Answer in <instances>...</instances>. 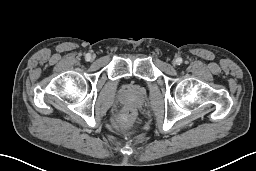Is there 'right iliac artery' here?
I'll return each instance as SVG.
<instances>
[{"instance_id":"obj_1","label":"right iliac artery","mask_w":256,"mask_h":171,"mask_svg":"<svg viewBox=\"0 0 256 171\" xmlns=\"http://www.w3.org/2000/svg\"><path fill=\"white\" fill-rule=\"evenodd\" d=\"M90 57H91L90 54H86V57H85V58H86V60H89Z\"/></svg>"}]
</instances>
